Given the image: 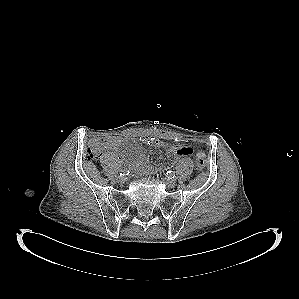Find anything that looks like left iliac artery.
<instances>
[{"label":"left iliac artery","instance_id":"1","mask_svg":"<svg viewBox=\"0 0 299 299\" xmlns=\"http://www.w3.org/2000/svg\"><path fill=\"white\" fill-rule=\"evenodd\" d=\"M166 175H167V177L170 178V179H172V178L175 177V173H174L173 171H168V172L166 173Z\"/></svg>","mask_w":299,"mask_h":299}]
</instances>
